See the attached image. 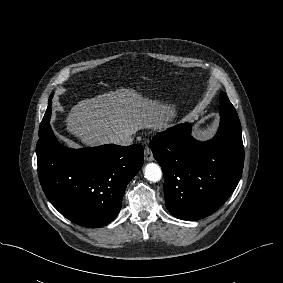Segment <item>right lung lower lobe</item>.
I'll return each instance as SVG.
<instances>
[{
	"label": "right lung lower lobe",
	"mask_w": 283,
	"mask_h": 283,
	"mask_svg": "<svg viewBox=\"0 0 283 283\" xmlns=\"http://www.w3.org/2000/svg\"><path fill=\"white\" fill-rule=\"evenodd\" d=\"M143 162L141 144L64 148L49 123L37 143L39 180L46 197L67 219L84 227H101L117 216L126 186Z\"/></svg>",
	"instance_id": "obj_1"
}]
</instances>
